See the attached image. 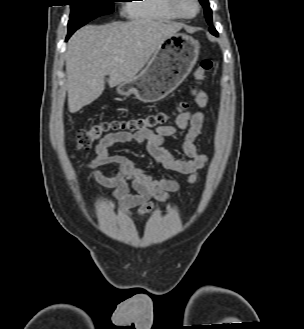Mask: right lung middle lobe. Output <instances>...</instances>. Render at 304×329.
Instances as JSON below:
<instances>
[{
    "label": "right lung middle lobe",
    "instance_id": "dd1d6c3e",
    "mask_svg": "<svg viewBox=\"0 0 304 329\" xmlns=\"http://www.w3.org/2000/svg\"><path fill=\"white\" fill-rule=\"evenodd\" d=\"M71 14L68 22L67 39L80 27L101 15L110 14L114 10L115 0H69Z\"/></svg>",
    "mask_w": 304,
    "mask_h": 329
}]
</instances>
